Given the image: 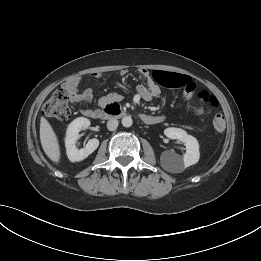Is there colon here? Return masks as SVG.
I'll return each instance as SVG.
<instances>
[{
  "label": "colon",
  "mask_w": 261,
  "mask_h": 261,
  "mask_svg": "<svg viewBox=\"0 0 261 261\" xmlns=\"http://www.w3.org/2000/svg\"><path fill=\"white\" fill-rule=\"evenodd\" d=\"M69 99L70 96L65 89L56 90L44 104L43 113L51 118L67 120L71 115V110L68 104ZM200 99L214 108L218 106L216 98L207 92H202L200 94ZM213 127L218 132H222L226 127L225 119L219 112L214 115Z\"/></svg>",
  "instance_id": "colon-1"
}]
</instances>
